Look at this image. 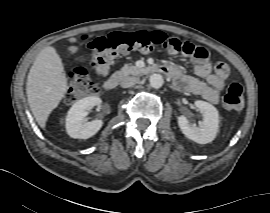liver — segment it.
Returning <instances> with one entry per match:
<instances>
[{"label":"liver","mask_w":270,"mask_h":213,"mask_svg":"<svg viewBox=\"0 0 270 213\" xmlns=\"http://www.w3.org/2000/svg\"><path fill=\"white\" fill-rule=\"evenodd\" d=\"M67 91L62 60L52 46L43 48L33 62L26 83L27 99L37 123L44 128L50 113Z\"/></svg>","instance_id":"1"}]
</instances>
